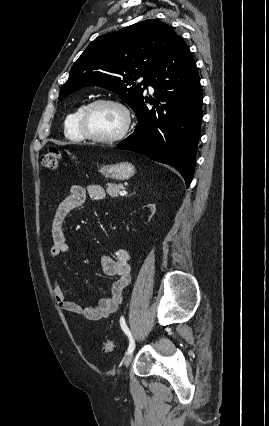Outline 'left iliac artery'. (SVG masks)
I'll list each match as a JSON object with an SVG mask.
<instances>
[{"label":"left iliac artery","mask_w":269,"mask_h":426,"mask_svg":"<svg viewBox=\"0 0 269 426\" xmlns=\"http://www.w3.org/2000/svg\"><path fill=\"white\" fill-rule=\"evenodd\" d=\"M120 326L129 338V347H128L127 352H126V354H129V353L133 352V350L135 348V342H134V339H133V336H132L130 330L128 329V327L126 325V322H125V319H124L123 316L120 318Z\"/></svg>","instance_id":"44dca946"}]
</instances>
